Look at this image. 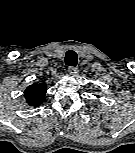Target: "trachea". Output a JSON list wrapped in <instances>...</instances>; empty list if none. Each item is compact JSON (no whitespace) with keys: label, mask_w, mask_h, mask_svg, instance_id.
I'll return each mask as SVG.
<instances>
[{"label":"trachea","mask_w":135,"mask_h":153,"mask_svg":"<svg viewBox=\"0 0 135 153\" xmlns=\"http://www.w3.org/2000/svg\"><path fill=\"white\" fill-rule=\"evenodd\" d=\"M77 62L78 58L76 52L73 50L67 51L65 55V64L68 66L75 67L77 65Z\"/></svg>","instance_id":"trachea-1"}]
</instances>
